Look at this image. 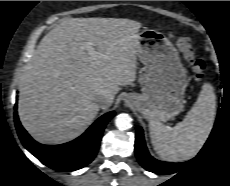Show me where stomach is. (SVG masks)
Wrapping results in <instances>:
<instances>
[{"label": "stomach", "mask_w": 230, "mask_h": 186, "mask_svg": "<svg viewBox=\"0 0 230 186\" xmlns=\"http://www.w3.org/2000/svg\"><path fill=\"white\" fill-rule=\"evenodd\" d=\"M138 56L144 65L139 75L142 94H127L125 102L147 120L167 121L178 115L187 74L177 49L164 34L145 29L139 33Z\"/></svg>", "instance_id": "obj_1"}]
</instances>
